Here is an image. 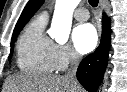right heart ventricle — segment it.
I'll return each instance as SVG.
<instances>
[{
	"instance_id": "right-heart-ventricle-1",
	"label": "right heart ventricle",
	"mask_w": 127,
	"mask_h": 92,
	"mask_svg": "<svg viewBox=\"0 0 127 92\" xmlns=\"http://www.w3.org/2000/svg\"><path fill=\"white\" fill-rule=\"evenodd\" d=\"M47 15L35 17L22 32L17 44L16 62L20 71L43 75L56 70L55 43L45 34Z\"/></svg>"
}]
</instances>
